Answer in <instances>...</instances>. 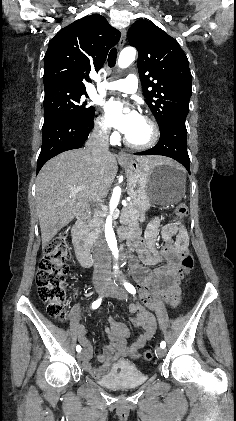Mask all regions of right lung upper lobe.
<instances>
[{
    "label": "right lung upper lobe",
    "instance_id": "cb5924a9",
    "mask_svg": "<svg viewBox=\"0 0 236 421\" xmlns=\"http://www.w3.org/2000/svg\"><path fill=\"white\" fill-rule=\"evenodd\" d=\"M120 32L97 14L83 17L61 29L44 56V87L86 91L89 71H98Z\"/></svg>",
    "mask_w": 236,
    "mask_h": 421
}]
</instances>
